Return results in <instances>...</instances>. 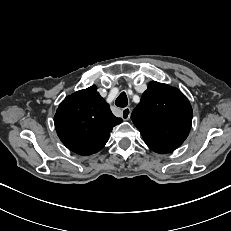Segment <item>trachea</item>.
<instances>
[{
	"instance_id": "1",
	"label": "trachea",
	"mask_w": 231,
	"mask_h": 231,
	"mask_svg": "<svg viewBox=\"0 0 231 231\" xmlns=\"http://www.w3.org/2000/svg\"><path fill=\"white\" fill-rule=\"evenodd\" d=\"M128 104L127 95L125 92H122L116 99L115 105L121 108L126 107Z\"/></svg>"
}]
</instances>
